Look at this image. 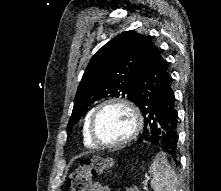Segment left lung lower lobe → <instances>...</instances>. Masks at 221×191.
Instances as JSON below:
<instances>
[{
  "label": "left lung lower lobe",
  "instance_id": "1",
  "mask_svg": "<svg viewBox=\"0 0 221 191\" xmlns=\"http://www.w3.org/2000/svg\"><path fill=\"white\" fill-rule=\"evenodd\" d=\"M136 105L144 117V130L138 142L148 141L177 157L178 114L167 62L150 40L136 84Z\"/></svg>",
  "mask_w": 221,
  "mask_h": 191
}]
</instances>
